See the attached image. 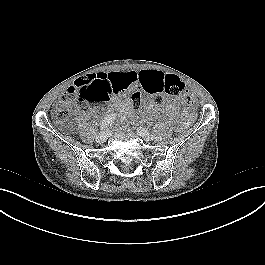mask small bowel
Wrapping results in <instances>:
<instances>
[{"mask_svg":"<svg viewBox=\"0 0 265 265\" xmlns=\"http://www.w3.org/2000/svg\"><path fill=\"white\" fill-rule=\"evenodd\" d=\"M167 74L159 70H141V71H127V72H111V73H98L88 76L103 78L109 85L112 93L116 96L112 99L115 106L131 111L132 106L128 102H122L118 99L121 95H124L127 91L135 88L141 87L146 92L150 93L154 90L157 85H160ZM86 77V78H88ZM179 109V103L167 99L161 106L156 105L151 102L148 104L146 110L148 113L157 114L160 112H165L172 116L176 114ZM89 117V114H81L77 120V124L85 122Z\"/></svg>","mask_w":265,"mask_h":265,"instance_id":"c3829d8e","label":"small bowel"}]
</instances>
